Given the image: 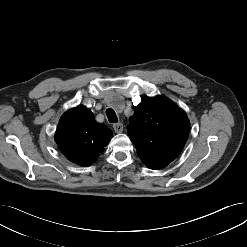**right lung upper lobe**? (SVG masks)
Here are the masks:
<instances>
[{"instance_id": "right-lung-upper-lobe-1", "label": "right lung upper lobe", "mask_w": 247, "mask_h": 247, "mask_svg": "<svg viewBox=\"0 0 247 247\" xmlns=\"http://www.w3.org/2000/svg\"><path fill=\"white\" fill-rule=\"evenodd\" d=\"M111 138L112 131L98 123L83 105L67 111L55 133V141L65 157L80 166L93 164Z\"/></svg>"}]
</instances>
